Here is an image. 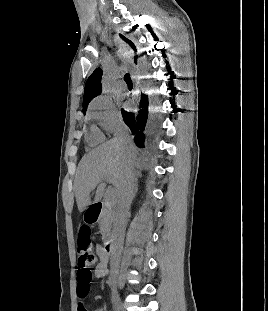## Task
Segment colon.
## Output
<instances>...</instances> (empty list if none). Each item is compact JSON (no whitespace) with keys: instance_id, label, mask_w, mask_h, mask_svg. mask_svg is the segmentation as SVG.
<instances>
[{"instance_id":"1","label":"colon","mask_w":268,"mask_h":311,"mask_svg":"<svg viewBox=\"0 0 268 311\" xmlns=\"http://www.w3.org/2000/svg\"><path fill=\"white\" fill-rule=\"evenodd\" d=\"M94 260L90 228L87 226L81 227L77 239V280L78 293L83 297L87 296L89 292V284L93 277L89 266Z\"/></svg>"}]
</instances>
